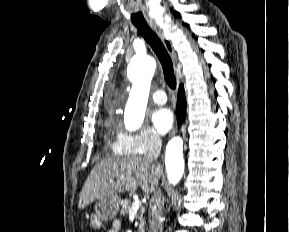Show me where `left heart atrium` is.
<instances>
[{
  "instance_id": "left-heart-atrium-1",
  "label": "left heart atrium",
  "mask_w": 289,
  "mask_h": 232,
  "mask_svg": "<svg viewBox=\"0 0 289 232\" xmlns=\"http://www.w3.org/2000/svg\"><path fill=\"white\" fill-rule=\"evenodd\" d=\"M151 121L158 133L165 134L172 128L174 116L170 109L158 108L152 113Z\"/></svg>"
}]
</instances>
